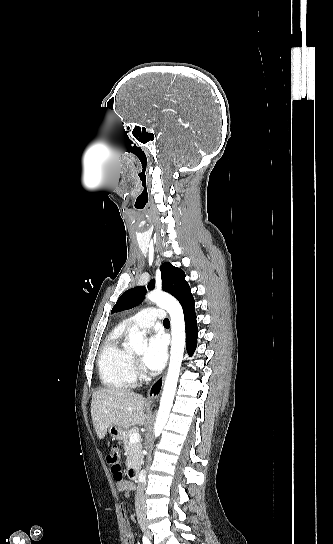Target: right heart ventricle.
Wrapping results in <instances>:
<instances>
[{"instance_id":"right-heart-ventricle-1","label":"right heart ventricle","mask_w":333,"mask_h":544,"mask_svg":"<svg viewBox=\"0 0 333 544\" xmlns=\"http://www.w3.org/2000/svg\"><path fill=\"white\" fill-rule=\"evenodd\" d=\"M126 330L123 325L113 330L100 349L98 372L103 385L109 388H131L135 384L132 351L123 342Z\"/></svg>"}]
</instances>
